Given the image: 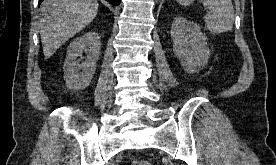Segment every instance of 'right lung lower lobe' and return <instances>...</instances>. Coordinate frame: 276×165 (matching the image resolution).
I'll return each mask as SVG.
<instances>
[{
    "label": "right lung lower lobe",
    "mask_w": 276,
    "mask_h": 165,
    "mask_svg": "<svg viewBox=\"0 0 276 165\" xmlns=\"http://www.w3.org/2000/svg\"><path fill=\"white\" fill-rule=\"evenodd\" d=\"M43 0H39V4L42 2ZM109 3L113 4V5H119L121 0H107Z\"/></svg>",
    "instance_id": "1"
}]
</instances>
